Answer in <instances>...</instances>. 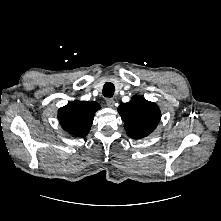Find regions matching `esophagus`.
Listing matches in <instances>:
<instances>
[{
  "mask_svg": "<svg viewBox=\"0 0 221 221\" xmlns=\"http://www.w3.org/2000/svg\"><path fill=\"white\" fill-rule=\"evenodd\" d=\"M106 105H107L108 107H110V108H113L114 105H115V100L112 99V98H107V99H106Z\"/></svg>",
  "mask_w": 221,
  "mask_h": 221,
  "instance_id": "esophagus-1",
  "label": "esophagus"
}]
</instances>
